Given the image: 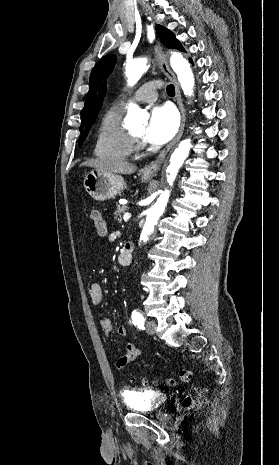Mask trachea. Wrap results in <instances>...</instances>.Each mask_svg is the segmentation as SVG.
<instances>
[{
    "instance_id": "obj_1",
    "label": "trachea",
    "mask_w": 279,
    "mask_h": 465,
    "mask_svg": "<svg viewBox=\"0 0 279 465\" xmlns=\"http://www.w3.org/2000/svg\"><path fill=\"white\" fill-rule=\"evenodd\" d=\"M167 94L169 96H174L175 95V88L172 84L167 86Z\"/></svg>"
}]
</instances>
